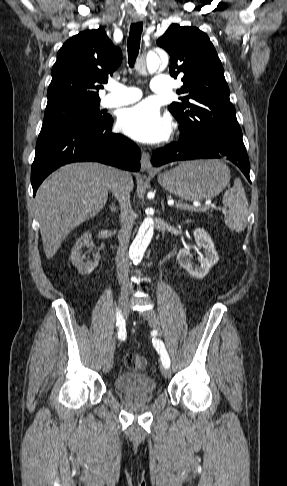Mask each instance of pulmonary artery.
Here are the masks:
<instances>
[{"instance_id": "pulmonary-artery-1", "label": "pulmonary artery", "mask_w": 287, "mask_h": 486, "mask_svg": "<svg viewBox=\"0 0 287 486\" xmlns=\"http://www.w3.org/2000/svg\"><path fill=\"white\" fill-rule=\"evenodd\" d=\"M171 88L172 82L169 76L159 75L152 79L151 89L155 93H166ZM108 90L109 93L102 99V105L105 107L128 105L142 97V93L138 88L128 87L119 83L110 84Z\"/></svg>"}]
</instances>
